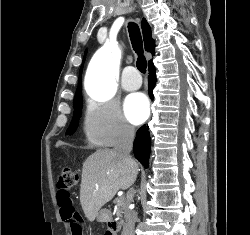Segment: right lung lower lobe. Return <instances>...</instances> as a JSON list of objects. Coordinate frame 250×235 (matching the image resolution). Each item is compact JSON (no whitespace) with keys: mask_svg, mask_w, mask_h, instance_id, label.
Masks as SVG:
<instances>
[{"mask_svg":"<svg viewBox=\"0 0 250 235\" xmlns=\"http://www.w3.org/2000/svg\"><path fill=\"white\" fill-rule=\"evenodd\" d=\"M148 71L150 73L149 80V95L153 98L152 90L156 84V76H155V67L154 64L150 61L148 63ZM151 149V137L148 127L146 125L142 126L138 131L136 138L134 140L133 151L135 157L144 165L145 168L148 167L149 164V155Z\"/></svg>","mask_w":250,"mask_h":235,"instance_id":"obj_1","label":"right lung lower lobe"}]
</instances>
